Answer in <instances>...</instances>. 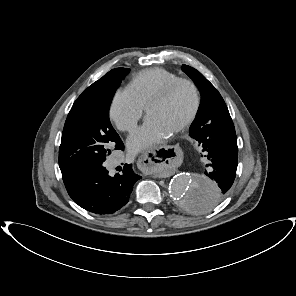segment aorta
I'll return each mask as SVG.
<instances>
[{
	"instance_id": "762f6f07",
	"label": "aorta",
	"mask_w": 296,
	"mask_h": 296,
	"mask_svg": "<svg viewBox=\"0 0 296 296\" xmlns=\"http://www.w3.org/2000/svg\"><path fill=\"white\" fill-rule=\"evenodd\" d=\"M217 187V184L206 176L179 173L172 178L169 193L183 212L199 215L214 206Z\"/></svg>"
}]
</instances>
